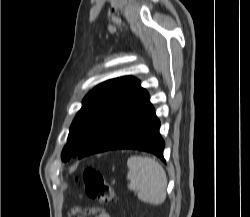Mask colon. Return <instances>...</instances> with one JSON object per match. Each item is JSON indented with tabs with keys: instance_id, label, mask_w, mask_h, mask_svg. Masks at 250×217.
<instances>
[{
	"instance_id": "1",
	"label": "colon",
	"mask_w": 250,
	"mask_h": 217,
	"mask_svg": "<svg viewBox=\"0 0 250 217\" xmlns=\"http://www.w3.org/2000/svg\"><path fill=\"white\" fill-rule=\"evenodd\" d=\"M82 179L87 195L100 203L108 205L116 200V194L112 184L106 176L92 167L83 171Z\"/></svg>"
}]
</instances>
